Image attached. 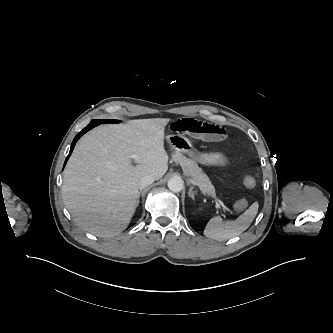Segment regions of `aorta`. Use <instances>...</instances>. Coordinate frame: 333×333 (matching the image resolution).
Wrapping results in <instances>:
<instances>
[{
    "label": "aorta",
    "instance_id": "1",
    "mask_svg": "<svg viewBox=\"0 0 333 333\" xmlns=\"http://www.w3.org/2000/svg\"><path fill=\"white\" fill-rule=\"evenodd\" d=\"M168 188L173 192H180L183 189V180L180 177L169 179Z\"/></svg>",
    "mask_w": 333,
    "mask_h": 333
}]
</instances>
